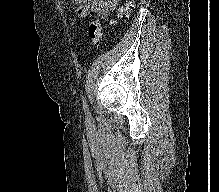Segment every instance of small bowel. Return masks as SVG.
I'll return each mask as SVG.
<instances>
[{
    "instance_id": "small-bowel-1",
    "label": "small bowel",
    "mask_w": 219,
    "mask_h": 192,
    "mask_svg": "<svg viewBox=\"0 0 219 192\" xmlns=\"http://www.w3.org/2000/svg\"><path fill=\"white\" fill-rule=\"evenodd\" d=\"M77 6V14L80 17H89L96 13L100 18H107L109 13L116 9L119 0H72Z\"/></svg>"
}]
</instances>
